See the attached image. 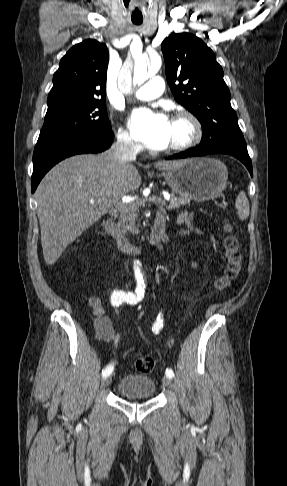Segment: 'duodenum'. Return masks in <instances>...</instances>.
<instances>
[{"mask_svg": "<svg viewBox=\"0 0 287 486\" xmlns=\"http://www.w3.org/2000/svg\"><path fill=\"white\" fill-rule=\"evenodd\" d=\"M166 226V218L163 214H158L154 221V226L152 229L150 243L153 245L159 244L164 237ZM104 227L107 233L116 241L118 248L126 253L136 254L141 251V248L134 243H132L123 234V232L118 229L114 221L109 218L105 221Z\"/></svg>", "mask_w": 287, "mask_h": 486, "instance_id": "duodenum-1", "label": "duodenum"}]
</instances>
